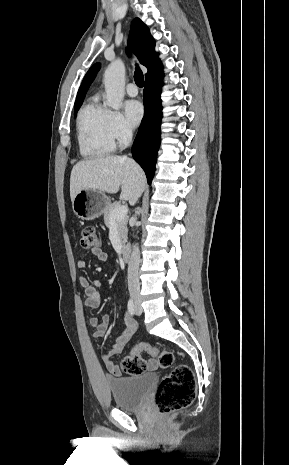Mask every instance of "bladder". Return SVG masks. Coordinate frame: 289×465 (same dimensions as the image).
<instances>
[{"instance_id": "1", "label": "bladder", "mask_w": 289, "mask_h": 465, "mask_svg": "<svg viewBox=\"0 0 289 465\" xmlns=\"http://www.w3.org/2000/svg\"><path fill=\"white\" fill-rule=\"evenodd\" d=\"M156 380V375L149 373L138 377L109 378L107 382L118 408L136 410L142 407Z\"/></svg>"}]
</instances>
